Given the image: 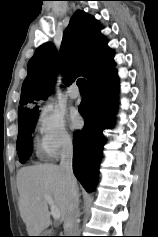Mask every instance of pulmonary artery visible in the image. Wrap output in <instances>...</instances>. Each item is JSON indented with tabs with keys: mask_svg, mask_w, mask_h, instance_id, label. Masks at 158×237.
Returning a JSON list of instances; mask_svg holds the SVG:
<instances>
[{
	"mask_svg": "<svg viewBox=\"0 0 158 237\" xmlns=\"http://www.w3.org/2000/svg\"><path fill=\"white\" fill-rule=\"evenodd\" d=\"M68 96L71 98V99H78L79 98V92L78 91H75L73 89H70L68 91Z\"/></svg>",
	"mask_w": 158,
	"mask_h": 237,
	"instance_id": "1",
	"label": "pulmonary artery"
}]
</instances>
